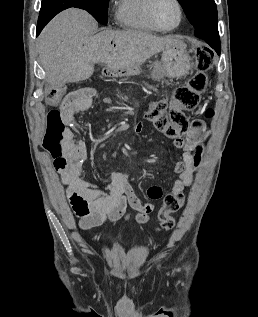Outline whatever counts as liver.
<instances>
[{"label":"liver","instance_id":"obj_1","mask_svg":"<svg viewBox=\"0 0 258 317\" xmlns=\"http://www.w3.org/2000/svg\"><path fill=\"white\" fill-rule=\"evenodd\" d=\"M97 20L81 8H67L54 16L40 36L38 52L46 80L53 86L86 80L96 62L110 70L140 68L152 54L183 42L179 36H155L144 30H101ZM97 32V34H94Z\"/></svg>","mask_w":258,"mask_h":317}]
</instances>
